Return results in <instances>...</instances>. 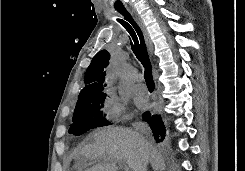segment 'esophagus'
<instances>
[{
	"label": "esophagus",
	"mask_w": 245,
	"mask_h": 171,
	"mask_svg": "<svg viewBox=\"0 0 245 171\" xmlns=\"http://www.w3.org/2000/svg\"><path fill=\"white\" fill-rule=\"evenodd\" d=\"M125 6L128 9V11L132 14V16L135 19V21L137 22L138 26L140 27V29H141V31L143 33L146 45L148 47V50L152 54L153 45H152V42H151V40L149 38V34H148L147 29H146V26L144 25L142 19L140 18V16L136 12L135 8L131 4H125Z\"/></svg>",
	"instance_id": "34e87169"
}]
</instances>
